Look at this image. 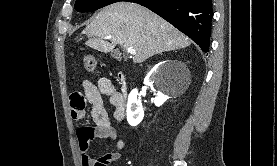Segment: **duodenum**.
<instances>
[{"mask_svg": "<svg viewBox=\"0 0 277 166\" xmlns=\"http://www.w3.org/2000/svg\"><path fill=\"white\" fill-rule=\"evenodd\" d=\"M119 84L121 87V90L119 92L120 109L124 113L127 101L128 85L126 78L122 74H119Z\"/></svg>", "mask_w": 277, "mask_h": 166, "instance_id": "410a0bca", "label": "duodenum"}]
</instances>
